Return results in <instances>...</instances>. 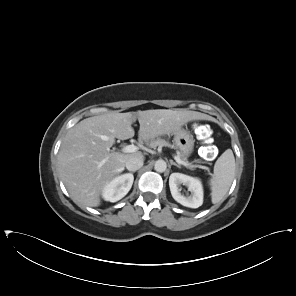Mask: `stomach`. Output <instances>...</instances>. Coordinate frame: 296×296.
Returning <instances> with one entry per match:
<instances>
[{"instance_id": "0dacf381", "label": "stomach", "mask_w": 296, "mask_h": 296, "mask_svg": "<svg viewBox=\"0 0 296 296\" xmlns=\"http://www.w3.org/2000/svg\"><path fill=\"white\" fill-rule=\"evenodd\" d=\"M173 134L175 145L182 155L185 157L190 156L194 148L193 136L185 129H179Z\"/></svg>"}]
</instances>
